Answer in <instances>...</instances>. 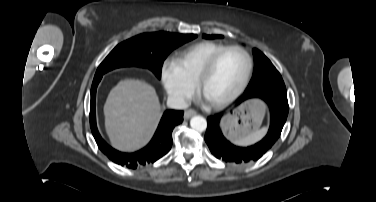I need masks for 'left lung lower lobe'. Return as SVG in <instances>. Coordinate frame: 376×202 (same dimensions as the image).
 I'll use <instances>...</instances> for the list:
<instances>
[{"instance_id": "0a47b994", "label": "left lung lower lobe", "mask_w": 376, "mask_h": 202, "mask_svg": "<svg viewBox=\"0 0 376 202\" xmlns=\"http://www.w3.org/2000/svg\"><path fill=\"white\" fill-rule=\"evenodd\" d=\"M250 98L264 100L270 109V127L267 135L257 144L250 147H237L231 144L222 134L219 123L226 114L222 112L207 118L208 126L205 133V141L211 153L218 159L225 162L247 163L256 161L262 157L279 139L282 128L286 122L289 105L287 96L278 95L272 92H265L249 97L241 96L235 106ZM230 112H232L230 110Z\"/></svg>"}]
</instances>
